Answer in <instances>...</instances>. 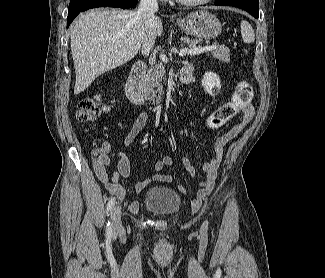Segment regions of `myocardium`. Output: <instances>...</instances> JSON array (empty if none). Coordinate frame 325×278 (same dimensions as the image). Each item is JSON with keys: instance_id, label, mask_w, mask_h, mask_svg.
I'll return each mask as SVG.
<instances>
[{"instance_id": "1", "label": "myocardium", "mask_w": 325, "mask_h": 278, "mask_svg": "<svg viewBox=\"0 0 325 278\" xmlns=\"http://www.w3.org/2000/svg\"><path fill=\"white\" fill-rule=\"evenodd\" d=\"M178 3L185 5V6H202L209 3L212 0H176Z\"/></svg>"}]
</instances>
